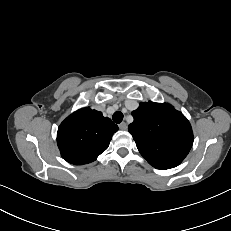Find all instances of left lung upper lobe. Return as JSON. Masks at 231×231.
I'll use <instances>...</instances> for the list:
<instances>
[{
	"mask_svg": "<svg viewBox=\"0 0 231 231\" xmlns=\"http://www.w3.org/2000/svg\"><path fill=\"white\" fill-rule=\"evenodd\" d=\"M128 126L141 155L150 165L166 170L179 165L193 144L187 118L168 103H141Z\"/></svg>",
	"mask_w": 231,
	"mask_h": 231,
	"instance_id": "1",
	"label": "left lung upper lobe"
}]
</instances>
